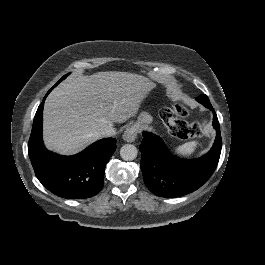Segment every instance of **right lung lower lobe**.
Wrapping results in <instances>:
<instances>
[{
	"instance_id": "obj_1",
	"label": "right lung lower lobe",
	"mask_w": 265,
	"mask_h": 265,
	"mask_svg": "<svg viewBox=\"0 0 265 265\" xmlns=\"http://www.w3.org/2000/svg\"><path fill=\"white\" fill-rule=\"evenodd\" d=\"M55 87V86H54ZM34 117L28 153L36 177L53 194L69 199L96 195L104 185V170L116 149V139L99 140L74 156L48 151L42 140L44 100Z\"/></svg>"
}]
</instances>
